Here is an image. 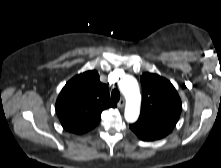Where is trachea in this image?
I'll return each instance as SVG.
<instances>
[{
	"mask_svg": "<svg viewBox=\"0 0 221 168\" xmlns=\"http://www.w3.org/2000/svg\"><path fill=\"white\" fill-rule=\"evenodd\" d=\"M111 98L112 100L114 101H119L120 99V92L116 89H114L112 92H111Z\"/></svg>",
	"mask_w": 221,
	"mask_h": 168,
	"instance_id": "3493384b",
	"label": "trachea"
}]
</instances>
